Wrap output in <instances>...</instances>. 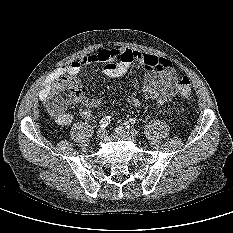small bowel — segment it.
<instances>
[{"instance_id": "1", "label": "small bowel", "mask_w": 233, "mask_h": 233, "mask_svg": "<svg viewBox=\"0 0 233 233\" xmlns=\"http://www.w3.org/2000/svg\"><path fill=\"white\" fill-rule=\"evenodd\" d=\"M92 63H104V73L111 78L124 76L132 67L143 68L145 78L142 92L146 98L156 99L157 105L169 102L178 92V75L169 59L124 48H103L96 53L78 58L62 65L56 71V76L75 75ZM57 83L54 81L47 83L39 94L40 99L49 108L50 98ZM128 101L133 107L140 105V99L136 95H131ZM76 102L85 107L80 110V115L90 118L92 116L91 108L101 106L104 99L90 98L80 94ZM53 113L60 125H68L73 121V116L69 112Z\"/></svg>"}]
</instances>
